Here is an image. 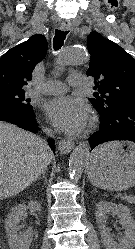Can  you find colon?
I'll return each mask as SVG.
<instances>
[{
	"mask_svg": "<svg viewBox=\"0 0 135 249\" xmlns=\"http://www.w3.org/2000/svg\"><path fill=\"white\" fill-rule=\"evenodd\" d=\"M0 249H3L1 245H0Z\"/></svg>",
	"mask_w": 135,
	"mask_h": 249,
	"instance_id": "colon-1",
	"label": "colon"
}]
</instances>
